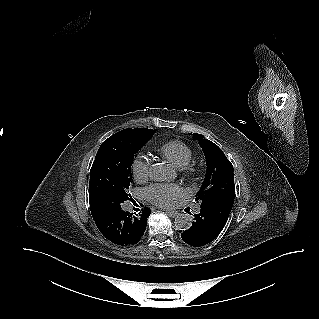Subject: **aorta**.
<instances>
[{
	"instance_id": "aorta-1",
	"label": "aorta",
	"mask_w": 319,
	"mask_h": 319,
	"mask_svg": "<svg viewBox=\"0 0 319 319\" xmlns=\"http://www.w3.org/2000/svg\"><path fill=\"white\" fill-rule=\"evenodd\" d=\"M150 178L154 181L166 180L170 173L162 163L153 164L149 171ZM175 227L179 230H188L192 226V219L188 214H179L174 221Z\"/></svg>"
}]
</instances>
